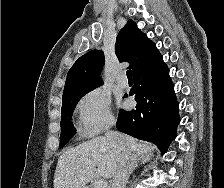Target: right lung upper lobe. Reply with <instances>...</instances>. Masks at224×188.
<instances>
[{
    "mask_svg": "<svg viewBox=\"0 0 224 188\" xmlns=\"http://www.w3.org/2000/svg\"><path fill=\"white\" fill-rule=\"evenodd\" d=\"M115 47L119 61L131 64L129 68L133 75L153 65L161 57L156 45L137 28L133 20H129L120 30ZM103 64L104 54L101 50H92L78 58L67 74L63 96L96 88L98 83L95 77Z\"/></svg>",
    "mask_w": 224,
    "mask_h": 188,
    "instance_id": "1",
    "label": "right lung upper lobe"
}]
</instances>
